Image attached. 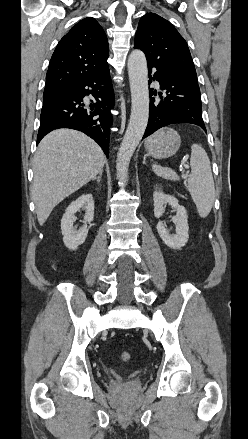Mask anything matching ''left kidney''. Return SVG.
<instances>
[{
    "instance_id": "left-kidney-1",
    "label": "left kidney",
    "mask_w": 248,
    "mask_h": 439,
    "mask_svg": "<svg viewBox=\"0 0 248 439\" xmlns=\"http://www.w3.org/2000/svg\"><path fill=\"white\" fill-rule=\"evenodd\" d=\"M154 215L156 218L162 216L165 212L164 205L169 204L175 211L176 215L172 217V221L176 227V233L170 234L163 222L157 224V231L164 243L172 249H181L188 241V217L184 206L179 205L178 200L169 194H165L161 187H155L153 193Z\"/></svg>"
}]
</instances>
